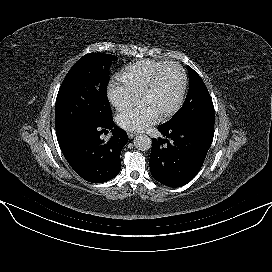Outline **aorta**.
Listing matches in <instances>:
<instances>
[{"label":"aorta","instance_id":"762f6f07","mask_svg":"<svg viewBox=\"0 0 272 272\" xmlns=\"http://www.w3.org/2000/svg\"><path fill=\"white\" fill-rule=\"evenodd\" d=\"M135 148L141 151H147L151 148L152 142L151 139L145 135V134H140L137 135L134 140H133Z\"/></svg>","mask_w":272,"mask_h":272}]
</instances>
